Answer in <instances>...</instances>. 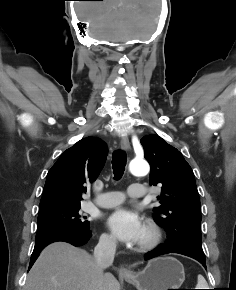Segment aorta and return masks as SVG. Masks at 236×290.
I'll return each instance as SVG.
<instances>
[{"label": "aorta", "instance_id": "1", "mask_svg": "<svg viewBox=\"0 0 236 290\" xmlns=\"http://www.w3.org/2000/svg\"><path fill=\"white\" fill-rule=\"evenodd\" d=\"M129 171L134 176H145L149 172V165L145 160L134 159L129 164Z\"/></svg>", "mask_w": 236, "mask_h": 290}]
</instances>
